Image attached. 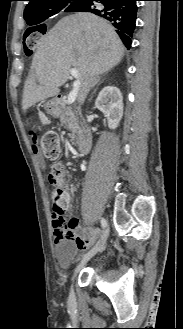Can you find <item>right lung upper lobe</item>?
I'll use <instances>...</instances> for the list:
<instances>
[{
	"instance_id": "cb5924a9",
	"label": "right lung upper lobe",
	"mask_w": 183,
	"mask_h": 329,
	"mask_svg": "<svg viewBox=\"0 0 183 329\" xmlns=\"http://www.w3.org/2000/svg\"><path fill=\"white\" fill-rule=\"evenodd\" d=\"M29 3L24 10V18L29 19L33 16L44 14L54 3L62 0H28Z\"/></svg>"
}]
</instances>
